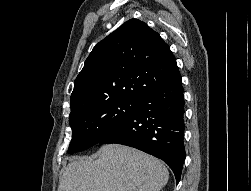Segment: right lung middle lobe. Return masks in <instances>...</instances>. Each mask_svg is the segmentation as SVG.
<instances>
[{"instance_id":"dd1d6c3e","label":"right lung middle lobe","mask_w":251,"mask_h":191,"mask_svg":"<svg viewBox=\"0 0 251 191\" xmlns=\"http://www.w3.org/2000/svg\"><path fill=\"white\" fill-rule=\"evenodd\" d=\"M137 107V101L113 100L71 109L69 124L73 134L68 153L80 152L99 143Z\"/></svg>"}]
</instances>
